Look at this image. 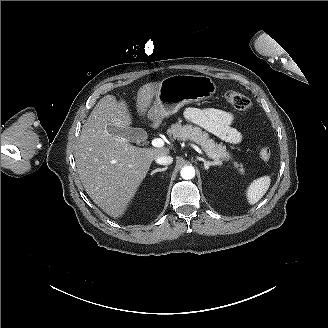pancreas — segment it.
Listing matches in <instances>:
<instances>
[{"mask_svg": "<svg viewBox=\"0 0 328 328\" xmlns=\"http://www.w3.org/2000/svg\"><path fill=\"white\" fill-rule=\"evenodd\" d=\"M167 135L173 139L179 141H192L200 145L206 155L214 159L213 163L216 165H222L223 161H229L232 159L231 154L227 152L226 146L222 143L217 144L213 139H210L209 134L202 131L199 127L192 125H182L181 123L172 124L167 129ZM234 168L238 169L240 174H244L243 164L238 162L233 163Z\"/></svg>", "mask_w": 328, "mask_h": 328, "instance_id": "1", "label": "pancreas"}]
</instances>
